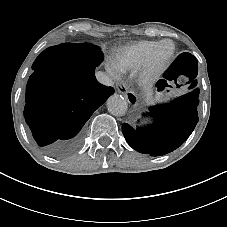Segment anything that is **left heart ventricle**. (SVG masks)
Segmentation results:
<instances>
[{
  "instance_id": "left-heart-ventricle-1",
  "label": "left heart ventricle",
  "mask_w": 227,
  "mask_h": 227,
  "mask_svg": "<svg viewBox=\"0 0 227 227\" xmlns=\"http://www.w3.org/2000/svg\"><path fill=\"white\" fill-rule=\"evenodd\" d=\"M170 49H171V46L170 45H167V46H165L164 51L165 52H168V51H170Z\"/></svg>"
}]
</instances>
